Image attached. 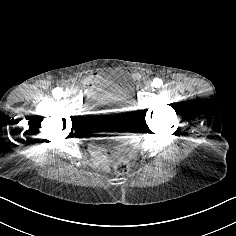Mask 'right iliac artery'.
<instances>
[{
	"mask_svg": "<svg viewBox=\"0 0 236 236\" xmlns=\"http://www.w3.org/2000/svg\"><path fill=\"white\" fill-rule=\"evenodd\" d=\"M52 93H53V96L57 99L62 98L65 95V92H63V89L59 87L55 88Z\"/></svg>",
	"mask_w": 236,
	"mask_h": 236,
	"instance_id": "82829eb1",
	"label": "right iliac artery"
}]
</instances>
